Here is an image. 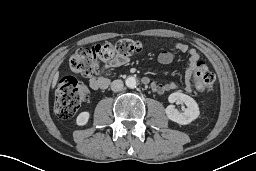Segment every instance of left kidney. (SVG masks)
Returning <instances> with one entry per match:
<instances>
[{"mask_svg":"<svg viewBox=\"0 0 256 171\" xmlns=\"http://www.w3.org/2000/svg\"><path fill=\"white\" fill-rule=\"evenodd\" d=\"M168 100L170 103L185 104L186 109L179 112L174 105H169L166 109V115L171 120L181 125H186L198 118L200 111L196 101L190 96L175 92L169 95Z\"/></svg>","mask_w":256,"mask_h":171,"instance_id":"left-kidney-1","label":"left kidney"}]
</instances>
